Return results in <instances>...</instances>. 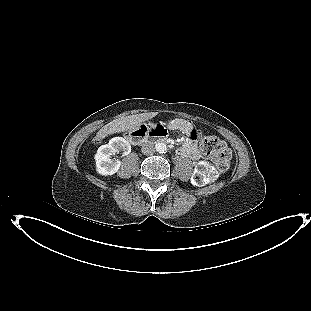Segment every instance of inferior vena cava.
I'll list each match as a JSON object with an SVG mask.
<instances>
[{
	"mask_svg": "<svg viewBox=\"0 0 311 311\" xmlns=\"http://www.w3.org/2000/svg\"><path fill=\"white\" fill-rule=\"evenodd\" d=\"M142 152L145 155H152L155 152V148L151 142L144 143L142 145Z\"/></svg>",
	"mask_w": 311,
	"mask_h": 311,
	"instance_id": "inferior-vena-cava-1",
	"label": "inferior vena cava"
}]
</instances>
